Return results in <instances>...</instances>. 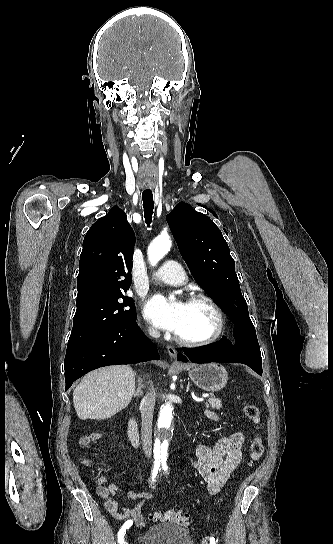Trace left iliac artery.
<instances>
[{"label": "left iliac artery", "mask_w": 333, "mask_h": 544, "mask_svg": "<svg viewBox=\"0 0 333 544\" xmlns=\"http://www.w3.org/2000/svg\"><path fill=\"white\" fill-rule=\"evenodd\" d=\"M162 469L164 472L168 471V466L165 462L162 463ZM210 544H217V541L214 539V537H210Z\"/></svg>", "instance_id": "left-iliac-artery-1"}]
</instances>
